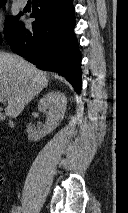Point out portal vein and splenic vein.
I'll use <instances>...</instances> for the list:
<instances>
[{"instance_id": "1", "label": "portal vein and splenic vein", "mask_w": 128, "mask_h": 213, "mask_svg": "<svg viewBox=\"0 0 128 213\" xmlns=\"http://www.w3.org/2000/svg\"><path fill=\"white\" fill-rule=\"evenodd\" d=\"M5 101H6V99L4 97L0 96V102H5Z\"/></svg>"}]
</instances>
